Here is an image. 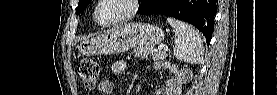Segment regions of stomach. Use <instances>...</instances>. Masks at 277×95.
Instances as JSON below:
<instances>
[{"label":"stomach","mask_w":277,"mask_h":95,"mask_svg":"<svg viewBox=\"0 0 277 95\" xmlns=\"http://www.w3.org/2000/svg\"><path fill=\"white\" fill-rule=\"evenodd\" d=\"M163 40L164 33L160 27L146 23H129L81 42L78 50L83 56L111 55L135 47L154 46Z\"/></svg>","instance_id":"1"}]
</instances>
